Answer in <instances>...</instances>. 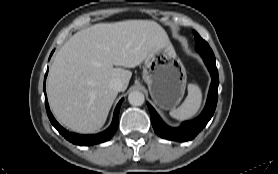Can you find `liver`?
Returning <instances> with one entry per match:
<instances>
[{"label":"liver","mask_w":278,"mask_h":174,"mask_svg":"<svg viewBox=\"0 0 278 174\" xmlns=\"http://www.w3.org/2000/svg\"><path fill=\"white\" fill-rule=\"evenodd\" d=\"M165 30L151 20L99 23L75 33L57 52L49 70L47 95L57 120L78 133H93L105 124L118 91L134 68L157 48L170 46ZM115 66V67H114Z\"/></svg>","instance_id":"obj_1"}]
</instances>
